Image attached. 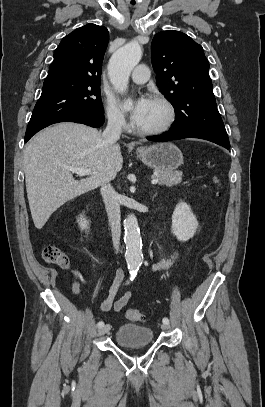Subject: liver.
<instances>
[{"label":"liver","mask_w":265,"mask_h":407,"mask_svg":"<svg viewBox=\"0 0 265 407\" xmlns=\"http://www.w3.org/2000/svg\"><path fill=\"white\" fill-rule=\"evenodd\" d=\"M27 197L34 225L41 229L53 212L73 198L112 180L122 169L120 145L108 144L92 127L64 122L44 129L24 150ZM66 166L91 170L75 180Z\"/></svg>","instance_id":"obj_1"}]
</instances>
